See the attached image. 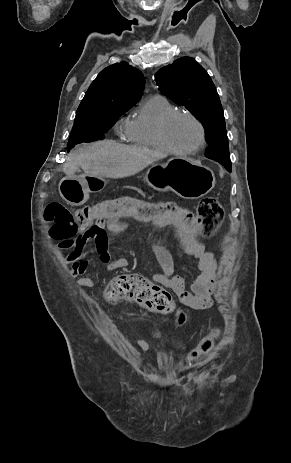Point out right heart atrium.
I'll return each mask as SVG.
<instances>
[{
  "label": "right heart atrium",
  "mask_w": 291,
  "mask_h": 463,
  "mask_svg": "<svg viewBox=\"0 0 291 463\" xmlns=\"http://www.w3.org/2000/svg\"><path fill=\"white\" fill-rule=\"evenodd\" d=\"M121 135H127L126 134V128L123 131H121Z\"/></svg>",
  "instance_id": "1"
}]
</instances>
